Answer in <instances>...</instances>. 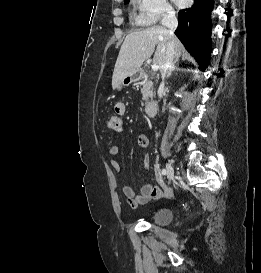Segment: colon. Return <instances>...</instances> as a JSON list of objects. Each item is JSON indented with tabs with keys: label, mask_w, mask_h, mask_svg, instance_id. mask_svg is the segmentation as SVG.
Returning <instances> with one entry per match:
<instances>
[{
	"label": "colon",
	"mask_w": 261,
	"mask_h": 273,
	"mask_svg": "<svg viewBox=\"0 0 261 273\" xmlns=\"http://www.w3.org/2000/svg\"><path fill=\"white\" fill-rule=\"evenodd\" d=\"M108 127L112 130H120L122 128V119L120 115H111L108 119Z\"/></svg>",
	"instance_id": "obj_1"
}]
</instances>
